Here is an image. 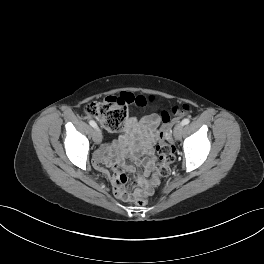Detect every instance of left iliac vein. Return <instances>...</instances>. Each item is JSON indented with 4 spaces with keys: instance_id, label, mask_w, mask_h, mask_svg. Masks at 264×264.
Wrapping results in <instances>:
<instances>
[{
    "instance_id": "left-iliac-vein-1",
    "label": "left iliac vein",
    "mask_w": 264,
    "mask_h": 264,
    "mask_svg": "<svg viewBox=\"0 0 264 264\" xmlns=\"http://www.w3.org/2000/svg\"><path fill=\"white\" fill-rule=\"evenodd\" d=\"M182 129H183V125L182 124H178L176 125V127L174 128V137L179 140L181 138V134H182Z\"/></svg>"
}]
</instances>
